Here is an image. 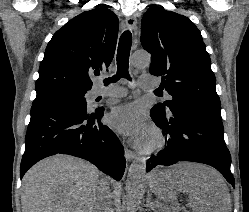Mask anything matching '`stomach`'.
<instances>
[{"label": "stomach", "mask_w": 249, "mask_h": 212, "mask_svg": "<svg viewBox=\"0 0 249 212\" xmlns=\"http://www.w3.org/2000/svg\"><path fill=\"white\" fill-rule=\"evenodd\" d=\"M151 183V193H161V198H173V193H176L177 184H165L161 175H154Z\"/></svg>", "instance_id": "1"}]
</instances>
